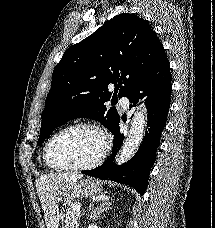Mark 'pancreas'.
I'll return each mask as SVG.
<instances>
[{
	"label": "pancreas",
	"mask_w": 215,
	"mask_h": 228,
	"mask_svg": "<svg viewBox=\"0 0 215 228\" xmlns=\"http://www.w3.org/2000/svg\"><path fill=\"white\" fill-rule=\"evenodd\" d=\"M80 212L79 210H74L73 204L69 206L66 210L65 214V228H76L78 226V220H80Z\"/></svg>",
	"instance_id": "1"
}]
</instances>
